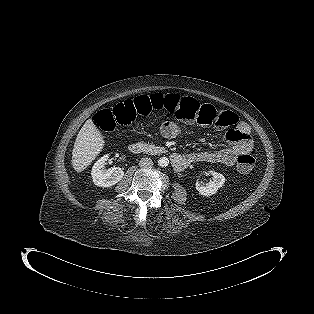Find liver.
I'll list each match as a JSON object with an SVG mask.
<instances>
[{
	"label": "liver",
	"mask_w": 314,
	"mask_h": 314,
	"mask_svg": "<svg viewBox=\"0 0 314 314\" xmlns=\"http://www.w3.org/2000/svg\"><path fill=\"white\" fill-rule=\"evenodd\" d=\"M105 141L94 122L89 119L80 129L72 151V165L80 173L98 156Z\"/></svg>",
	"instance_id": "6515ba94"
}]
</instances>
